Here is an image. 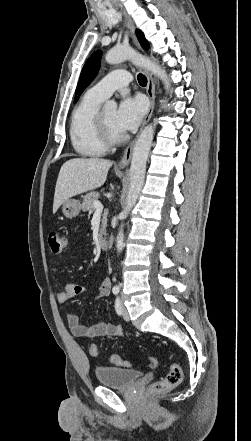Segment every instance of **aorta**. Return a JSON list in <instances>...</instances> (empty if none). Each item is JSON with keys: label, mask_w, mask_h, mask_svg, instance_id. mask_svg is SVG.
Here are the masks:
<instances>
[{"label": "aorta", "mask_w": 251, "mask_h": 441, "mask_svg": "<svg viewBox=\"0 0 251 441\" xmlns=\"http://www.w3.org/2000/svg\"><path fill=\"white\" fill-rule=\"evenodd\" d=\"M105 59L109 64H117L125 60H131L133 63L145 67L152 74L161 79L167 91L170 89V81L168 79L166 71L158 63L148 58L138 56L136 52L129 47L114 48L107 52ZM105 107L107 109L115 110L117 108V104L115 101L111 100L106 102ZM153 137L154 126L152 124L147 125L142 130L133 148L130 167V187L127 194L126 206L124 210L120 213V218L122 220H125L127 218L130 210L136 204L138 196L144 185L146 162ZM116 248L118 253H120L124 248L123 225H121V228L116 238Z\"/></svg>", "instance_id": "762f6f07"}]
</instances>
